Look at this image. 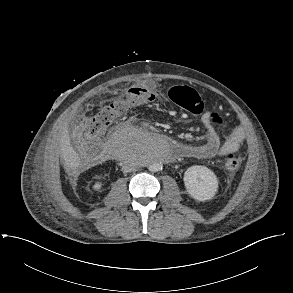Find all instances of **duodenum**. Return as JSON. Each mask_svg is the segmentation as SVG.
I'll return each instance as SVG.
<instances>
[{"mask_svg": "<svg viewBox=\"0 0 293 293\" xmlns=\"http://www.w3.org/2000/svg\"><path fill=\"white\" fill-rule=\"evenodd\" d=\"M167 140L170 141L174 145V147L178 149V152L176 154H174L172 157L168 158V159L162 157V158H160V160L173 162V161L177 160L179 157H181V152L183 150H185L186 147L180 141L175 140L173 138L169 137V138H167Z\"/></svg>", "mask_w": 293, "mask_h": 293, "instance_id": "obj_1", "label": "duodenum"}]
</instances>
